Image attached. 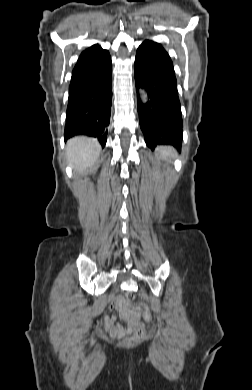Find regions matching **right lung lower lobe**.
I'll return each mask as SVG.
<instances>
[{
    "label": "right lung lower lobe",
    "mask_w": 252,
    "mask_h": 390,
    "mask_svg": "<svg viewBox=\"0 0 252 390\" xmlns=\"http://www.w3.org/2000/svg\"><path fill=\"white\" fill-rule=\"evenodd\" d=\"M112 65L103 73L70 82L65 140L75 135L107 140L112 104Z\"/></svg>",
    "instance_id": "right-lung-lower-lobe-1"
}]
</instances>
